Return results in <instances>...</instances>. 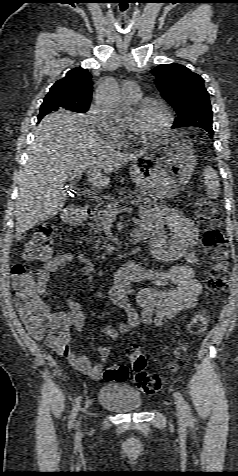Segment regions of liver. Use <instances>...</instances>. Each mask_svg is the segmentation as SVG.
Returning a JSON list of instances; mask_svg holds the SVG:
<instances>
[{
  "label": "liver",
  "instance_id": "obj_1",
  "mask_svg": "<svg viewBox=\"0 0 238 476\" xmlns=\"http://www.w3.org/2000/svg\"><path fill=\"white\" fill-rule=\"evenodd\" d=\"M144 151H116L99 137L86 115L66 111L46 115L35 129L29 159L20 174L16 238L62 210L68 178L87 171L93 186L106 187L112 172Z\"/></svg>",
  "mask_w": 238,
  "mask_h": 476
}]
</instances>
